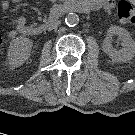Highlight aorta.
<instances>
[{
	"label": "aorta",
	"mask_w": 135,
	"mask_h": 135,
	"mask_svg": "<svg viewBox=\"0 0 135 135\" xmlns=\"http://www.w3.org/2000/svg\"><path fill=\"white\" fill-rule=\"evenodd\" d=\"M65 23L70 27L76 26L79 23L78 15L75 13L67 14L65 18Z\"/></svg>",
	"instance_id": "762f6f07"
}]
</instances>
